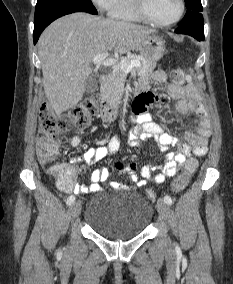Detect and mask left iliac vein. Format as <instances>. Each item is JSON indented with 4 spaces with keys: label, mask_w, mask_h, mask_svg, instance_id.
<instances>
[{
    "label": "left iliac vein",
    "mask_w": 233,
    "mask_h": 284,
    "mask_svg": "<svg viewBox=\"0 0 233 284\" xmlns=\"http://www.w3.org/2000/svg\"><path fill=\"white\" fill-rule=\"evenodd\" d=\"M157 210H158L160 217L163 220L167 221L169 218L170 209H169V206L163 200L158 201Z\"/></svg>",
    "instance_id": "4c4485c4"
}]
</instances>
